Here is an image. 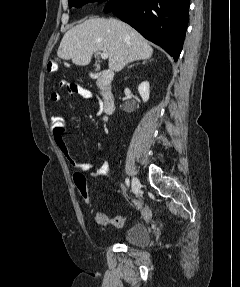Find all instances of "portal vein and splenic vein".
<instances>
[{"label": "portal vein and splenic vein", "instance_id": "obj_1", "mask_svg": "<svg viewBox=\"0 0 240 287\" xmlns=\"http://www.w3.org/2000/svg\"><path fill=\"white\" fill-rule=\"evenodd\" d=\"M101 58H102V59H107V58H108V53L102 52V53H101Z\"/></svg>", "mask_w": 240, "mask_h": 287}]
</instances>
